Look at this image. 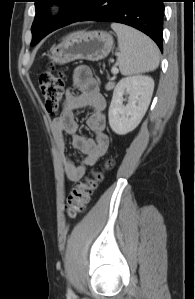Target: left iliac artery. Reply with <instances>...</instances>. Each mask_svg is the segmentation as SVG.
Here are the masks:
<instances>
[{"mask_svg":"<svg viewBox=\"0 0 195 299\" xmlns=\"http://www.w3.org/2000/svg\"><path fill=\"white\" fill-rule=\"evenodd\" d=\"M68 294H73L72 290L70 288H68Z\"/></svg>","mask_w":195,"mask_h":299,"instance_id":"left-iliac-artery-1","label":"left iliac artery"}]
</instances>
